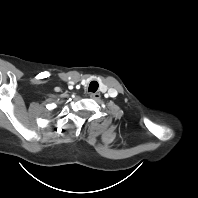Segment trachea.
<instances>
[{"instance_id": "obj_1", "label": "trachea", "mask_w": 198, "mask_h": 198, "mask_svg": "<svg viewBox=\"0 0 198 198\" xmlns=\"http://www.w3.org/2000/svg\"><path fill=\"white\" fill-rule=\"evenodd\" d=\"M98 87H99L98 82L92 81V82L89 84L88 91H89V92H92V93H95V92L97 91Z\"/></svg>"}]
</instances>
